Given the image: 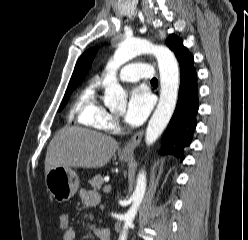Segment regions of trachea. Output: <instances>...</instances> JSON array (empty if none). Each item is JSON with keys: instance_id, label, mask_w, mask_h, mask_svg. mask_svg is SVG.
I'll list each match as a JSON object with an SVG mask.
<instances>
[{"instance_id": "1", "label": "trachea", "mask_w": 248, "mask_h": 240, "mask_svg": "<svg viewBox=\"0 0 248 240\" xmlns=\"http://www.w3.org/2000/svg\"><path fill=\"white\" fill-rule=\"evenodd\" d=\"M158 83V80L156 79V78H153L152 80H151V84H157Z\"/></svg>"}]
</instances>
